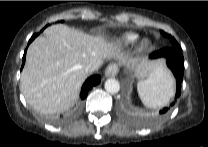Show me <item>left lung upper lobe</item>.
<instances>
[{"mask_svg": "<svg viewBox=\"0 0 208 147\" xmlns=\"http://www.w3.org/2000/svg\"><path fill=\"white\" fill-rule=\"evenodd\" d=\"M162 35H163L164 37H167V38L170 39V42H171V44H172V47H175V48H177V49H181L180 46H179V44H178V42L175 40L174 37H172L171 35L165 33L164 31H162Z\"/></svg>", "mask_w": 208, "mask_h": 147, "instance_id": "1", "label": "left lung upper lobe"}]
</instances>
